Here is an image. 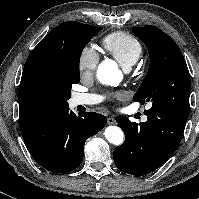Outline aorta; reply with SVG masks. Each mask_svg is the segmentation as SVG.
Instances as JSON below:
<instances>
[{"instance_id": "obj_1", "label": "aorta", "mask_w": 199, "mask_h": 199, "mask_svg": "<svg viewBox=\"0 0 199 199\" xmlns=\"http://www.w3.org/2000/svg\"><path fill=\"white\" fill-rule=\"evenodd\" d=\"M97 77L103 84L116 85L121 81L122 73L114 64L104 62L98 68ZM104 134L106 139L114 145H120L123 142V132L117 126L107 127Z\"/></svg>"}]
</instances>
